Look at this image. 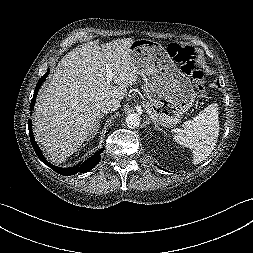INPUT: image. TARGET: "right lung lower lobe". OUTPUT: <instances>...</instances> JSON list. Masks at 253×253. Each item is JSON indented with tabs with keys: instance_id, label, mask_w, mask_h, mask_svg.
<instances>
[{
	"instance_id": "obj_1",
	"label": "right lung lower lobe",
	"mask_w": 253,
	"mask_h": 253,
	"mask_svg": "<svg viewBox=\"0 0 253 253\" xmlns=\"http://www.w3.org/2000/svg\"><path fill=\"white\" fill-rule=\"evenodd\" d=\"M49 71L50 70L48 69L47 73H45L39 79V81H38V83L36 85V88H35V91H34V95H33V98H32L31 104H30V111L33 110V108H34L38 90H39L40 86L42 85V83L45 81L46 77L48 76ZM28 128H29V136H30L31 144H32L33 149H34L35 153L37 154L38 158L44 164H46L48 167H50L55 172H57V173H59L61 175L69 176V175H73V174H75L77 172L85 173V172L91 170L93 167H95L99 163V161L101 159L100 154L103 152L104 149H101L100 151L96 152L95 155H93L92 157H90L89 159H87L86 161H84L80 165L78 164V165H76L74 167H69V168H60V167L54 166V165H52L51 163H49L45 159V157L43 156L40 148L38 147V145H37V143H36V141L34 139L33 133H32V121L30 119L28 120Z\"/></svg>"
}]
</instances>
